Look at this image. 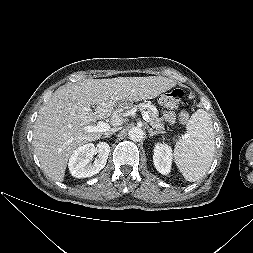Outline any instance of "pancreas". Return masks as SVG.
<instances>
[{
    "label": "pancreas",
    "mask_w": 253,
    "mask_h": 253,
    "mask_svg": "<svg viewBox=\"0 0 253 253\" xmlns=\"http://www.w3.org/2000/svg\"><path fill=\"white\" fill-rule=\"evenodd\" d=\"M141 110H144L143 107H140ZM150 119L149 124L156 130L158 133H165L164 131V123L162 122V119L159 118V114L157 110H154L153 108H147L146 109Z\"/></svg>",
    "instance_id": "1"
}]
</instances>
